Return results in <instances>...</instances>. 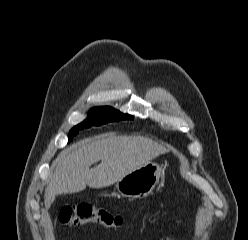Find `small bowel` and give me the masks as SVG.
<instances>
[{
  "instance_id": "obj_1",
  "label": "small bowel",
  "mask_w": 248,
  "mask_h": 240,
  "mask_svg": "<svg viewBox=\"0 0 248 240\" xmlns=\"http://www.w3.org/2000/svg\"><path fill=\"white\" fill-rule=\"evenodd\" d=\"M162 240H174V239L171 237H166V238H163Z\"/></svg>"
}]
</instances>
